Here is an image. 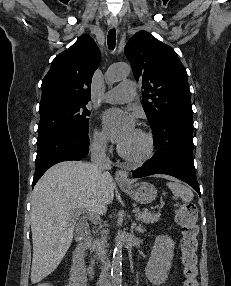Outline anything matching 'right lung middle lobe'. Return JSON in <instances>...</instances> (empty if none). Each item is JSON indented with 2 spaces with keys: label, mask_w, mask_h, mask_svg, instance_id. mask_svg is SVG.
<instances>
[{
  "label": "right lung middle lobe",
  "mask_w": 231,
  "mask_h": 286,
  "mask_svg": "<svg viewBox=\"0 0 231 286\" xmlns=\"http://www.w3.org/2000/svg\"><path fill=\"white\" fill-rule=\"evenodd\" d=\"M87 102L57 101L39 107L38 139L61 130L87 133L90 111Z\"/></svg>",
  "instance_id": "dd1d6c3e"
}]
</instances>
